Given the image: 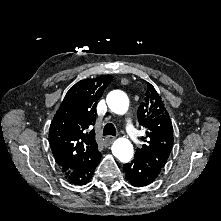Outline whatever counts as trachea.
Instances as JSON below:
<instances>
[{"instance_id": "1", "label": "trachea", "mask_w": 221, "mask_h": 221, "mask_svg": "<svg viewBox=\"0 0 221 221\" xmlns=\"http://www.w3.org/2000/svg\"><path fill=\"white\" fill-rule=\"evenodd\" d=\"M103 135H112L115 136L116 135V129L114 127L113 124L111 123H107L103 129Z\"/></svg>"}]
</instances>
